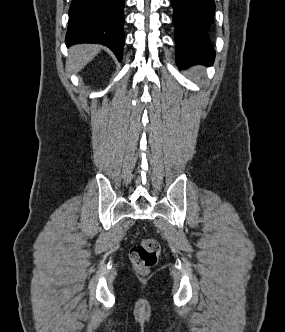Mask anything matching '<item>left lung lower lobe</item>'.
<instances>
[{
  "label": "left lung lower lobe",
  "mask_w": 285,
  "mask_h": 332,
  "mask_svg": "<svg viewBox=\"0 0 285 332\" xmlns=\"http://www.w3.org/2000/svg\"><path fill=\"white\" fill-rule=\"evenodd\" d=\"M171 4L177 65L182 69L197 63L211 65L215 51L208 30L213 23L214 0H171Z\"/></svg>",
  "instance_id": "obj_1"
}]
</instances>
